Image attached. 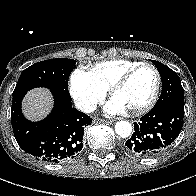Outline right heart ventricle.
Wrapping results in <instances>:
<instances>
[{
	"instance_id": "e07e8e85",
	"label": "right heart ventricle",
	"mask_w": 196,
	"mask_h": 196,
	"mask_svg": "<svg viewBox=\"0 0 196 196\" xmlns=\"http://www.w3.org/2000/svg\"><path fill=\"white\" fill-rule=\"evenodd\" d=\"M139 64L141 62L129 59L107 60L96 63L90 73L105 90H109L117 79Z\"/></svg>"
}]
</instances>
